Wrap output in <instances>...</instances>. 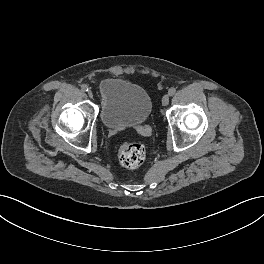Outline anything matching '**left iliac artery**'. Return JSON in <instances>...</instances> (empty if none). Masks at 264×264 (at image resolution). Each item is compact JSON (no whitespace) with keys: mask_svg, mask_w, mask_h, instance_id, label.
<instances>
[{"mask_svg":"<svg viewBox=\"0 0 264 264\" xmlns=\"http://www.w3.org/2000/svg\"><path fill=\"white\" fill-rule=\"evenodd\" d=\"M175 93H176V88H174V87L170 88L169 91H168V94L170 96H173Z\"/></svg>","mask_w":264,"mask_h":264,"instance_id":"obj_1","label":"left iliac artery"}]
</instances>
